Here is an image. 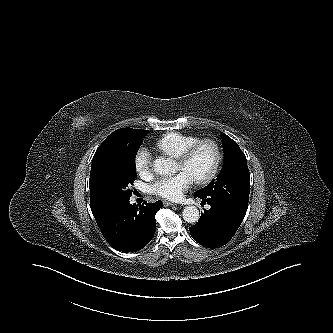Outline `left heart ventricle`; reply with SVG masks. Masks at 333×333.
Here are the masks:
<instances>
[{"mask_svg":"<svg viewBox=\"0 0 333 333\" xmlns=\"http://www.w3.org/2000/svg\"><path fill=\"white\" fill-rule=\"evenodd\" d=\"M213 161V150L209 146L204 145L198 149L187 164L177 162V170L187 172L193 179L201 178L210 171Z\"/></svg>","mask_w":333,"mask_h":333,"instance_id":"1","label":"left heart ventricle"}]
</instances>
